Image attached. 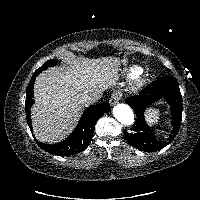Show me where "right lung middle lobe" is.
<instances>
[{"mask_svg":"<svg viewBox=\"0 0 200 200\" xmlns=\"http://www.w3.org/2000/svg\"><path fill=\"white\" fill-rule=\"evenodd\" d=\"M56 63L57 62L54 59L47 61L46 63H44L40 68H38L34 72L33 76H37L38 74H40L43 70L47 69L48 67L56 65Z\"/></svg>","mask_w":200,"mask_h":200,"instance_id":"1","label":"right lung middle lobe"}]
</instances>
